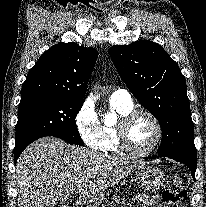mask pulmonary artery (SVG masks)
<instances>
[{"label":"pulmonary artery","mask_w":206,"mask_h":207,"mask_svg":"<svg viewBox=\"0 0 206 207\" xmlns=\"http://www.w3.org/2000/svg\"><path fill=\"white\" fill-rule=\"evenodd\" d=\"M110 100L118 102V103L125 105V106H132L133 105L130 93L124 89L115 90L111 94Z\"/></svg>","instance_id":"e3ab8cb5"}]
</instances>
